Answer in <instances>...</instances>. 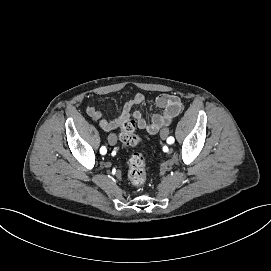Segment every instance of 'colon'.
I'll use <instances>...</instances> for the list:
<instances>
[{"mask_svg": "<svg viewBox=\"0 0 271 271\" xmlns=\"http://www.w3.org/2000/svg\"><path fill=\"white\" fill-rule=\"evenodd\" d=\"M121 142L127 147H135L140 142V137L136 133L134 120H127L123 123L120 134ZM146 159L140 152H134L128 161V179L130 182L141 188L146 183L145 171Z\"/></svg>", "mask_w": 271, "mask_h": 271, "instance_id": "1", "label": "colon"}]
</instances>
